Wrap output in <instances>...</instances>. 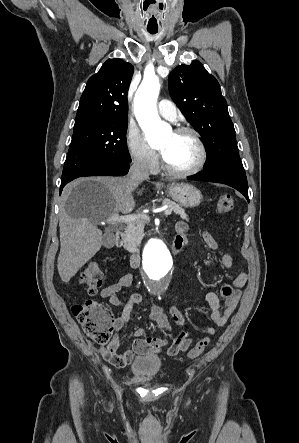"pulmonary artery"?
<instances>
[{
    "mask_svg": "<svg viewBox=\"0 0 299 443\" xmlns=\"http://www.w3.org/2000/svg\"><path fill=\"white\" fill-rule=\"evenodd\" d=\"M158 111L159 114L171 121L176 120L177 118V109L173 102L163 99L158 103Z\"/></svg>",
    "mask_w": 299,
    "mask_h": 443,
    "instance_id": "1",
    "label": "pulmonary artery"
}]
</instances>
